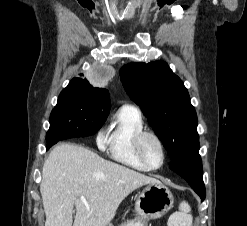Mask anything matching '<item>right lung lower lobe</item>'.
<instances>
[{
    "instance_id": "98d812e1",
    "label": "right lung lower lobe",
    "mask_w": 247,
    "mask_h": 226,
    "mask_svg": "<svg viewBox=\"0 0 247 226\" xmlns=\"http://www.w3.org/2000/svg\"><path fill=\"white\" fill-rule=\"evenodd\" d=\"M55 143H57V142H55V141L47 142L46 148L48 149L49 147H51V146L54 145Z\"/></svg>"
}]
</instances>
